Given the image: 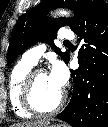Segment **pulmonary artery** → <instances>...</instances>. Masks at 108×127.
Listing matches in <instances>:
<instances>
[{"label": "pulmonary artery", "instance_id": "obj_1", "mask_svg": "<svg viewBox=\"0 0 108 127\" xmlns=\"http://www.w3.org/2000/svg\"><path fill=\"white\" fill-rule=\"evenodd\" d=\"M60 38L64 39L65 41H69L74 38V34L70 30L62 29L60 32ZM45 49L46 47L44 44L37 45L27 50L23 54L22 60L29 64L35 65L39 61L42 54L45 52Z\"/></svg>", "mask_w": 108, "mask_h": 127}]
</instances>
